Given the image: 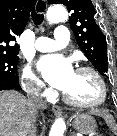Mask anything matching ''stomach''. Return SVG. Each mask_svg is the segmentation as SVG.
Returning a JSON list of instances; mask_svg holds the SVG:
<instances>
[{
	"instance_id": "obj_1",
	"label": "stomach",
	"mask_w": 117,
	"mask_h": 136,
	"mask_svg": "<svg viewBox=\"0 0 117 136\" xmlns=\"http://www.w3.org/2000/svg\"><path fill=\"white\" fill-rule=\"evenodd\" d=\"M73 128L83 135H89L96 131L97 125L92 116L76 114L73 116Z\"/></svg>"
}]
</instances>
